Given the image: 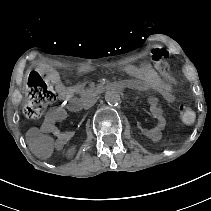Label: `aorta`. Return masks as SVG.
Instances as JSON below:
<instances>
[{
	"label": "aorta",
	"instance_id": "obj_1",
	"mask_svg": "<svg viewBox=\"0 0 211 211\" xmlns=\"http://www.w3.org/2000/svg\"><path fill=\"white\" fill-rule=\"evenodd\" d=\"M105 100L110 105H118L121 103L120 94L116 90H109L105 94Z\"/></svg>",
	"mask_w": 211,
	"mask_h": 211
}]
</instances>
